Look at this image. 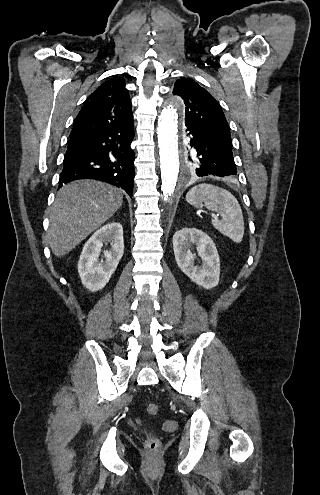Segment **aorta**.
<instances>
[{"label": "aorta", "instance_id": "aorta-1", "mask_svg": "<svg viewBox=\"0 0 320 495\" xmlns=\"http://www.w3.org/2000/svg\"><path fill=\"white\" fill-rule=\"evenodd\" d=\"M183 108L181 98H172L162 109L158 119V147L160 155L161 169V189L160 198L153 207V212L157 217H161L170 206L169 196L173 193L179 173V148H178V111ZM187 180L190 179L188 175Z\"/></svg>", "mask_w": 320, "mask_h": 495}]
</instances>
